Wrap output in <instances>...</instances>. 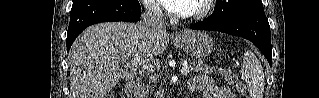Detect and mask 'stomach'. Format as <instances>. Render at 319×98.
<instances>
[{
    "mask_svg": "<svg viewBox=\"0 0 319 98\" xmlns=\"http://www.w3.org/2000/svg\"><path fill=\"white\" fill-rule=\"evenodd\" d=\"M179 43L186 54L197 59L205 58L213 50L212 38L201 31H186Z\"/></svg>",
    "mask_w": 319,
    "mask_h": 98,
    "instance_id": "1",
    "label": "stomach"
}]
</instances>
